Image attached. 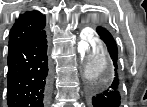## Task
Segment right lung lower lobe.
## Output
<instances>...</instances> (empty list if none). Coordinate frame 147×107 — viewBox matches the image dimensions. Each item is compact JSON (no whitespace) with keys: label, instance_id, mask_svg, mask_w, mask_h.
<instances>
[{"label":"right lung lower lobe","instance_id":"obj_1","mask_svg":"<svg viewBox=\"0 0 147 107\" xmlns=\"http://www.w3.org/2000/svg\"><path fill=\"white\" fill-rule=\"evenodd\" d=\"M8 107H46L49 69L45 30L9 48Z\"/></svg>","mask_w":147,"mask_h":107}]
</instances>
